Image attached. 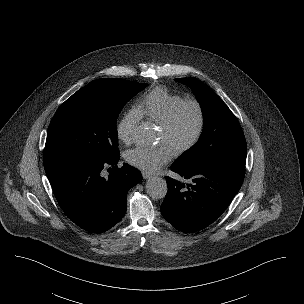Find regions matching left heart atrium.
<instances>
[{"label":"left heart atrium","mask_w":304,"mask_h":304,"mask_svg":"<svg viewBox=\"0 0 304 304\" xmlns=\"http://www.w3.org/2000/svg\"><path fill=\"white\" fill-rule=\"evenodd\" d=\"M175 155L174 149L161 145L154 149L137 147L128 151L125 159L128 164L145 172H155L168 163Z\"/></svg>","instance_id":"left-heart-atrium-1"}]
</instances>
